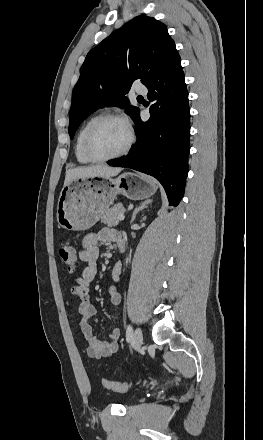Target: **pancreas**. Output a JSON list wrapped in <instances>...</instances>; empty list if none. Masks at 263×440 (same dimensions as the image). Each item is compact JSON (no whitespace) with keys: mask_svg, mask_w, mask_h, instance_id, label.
<instances>
[{"mask_svg":"<svg viewBox=\"0 0 263 440\" xmlns=\"http://www.w3.org/2000/svg\"><path fill=\"white\" fill-rule=\"evenodd\" d=\"M125 209L122 204H116L112 208L108 209L101 218V223L106 224L109 227L118 225L120 213H124Z\"/></svg>","mask_w":263,"mask_h":440,"instance_id":"1","label":"pancreas"}]
</instances>
